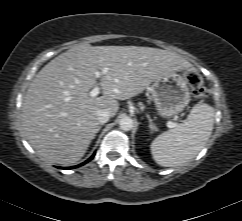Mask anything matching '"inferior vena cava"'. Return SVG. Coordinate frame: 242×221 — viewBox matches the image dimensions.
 <instances>
[{"label": "inferior vena cava", "mask_w": 242, "mask_h": 221, "mask_svg": "<svg viewBox=\"0 0 242 221\" xmlns=\"http://www.w3.org/2000/svg\"><path fill=\"white\" fill-rule=\"evenodd\" d=\"M96 115H97V120L100 124L106 123L110 119V116H111L110 112L105 109H98L96 111Z\"/></svg>", "instance_id": "602c4592"}]
</instances>
